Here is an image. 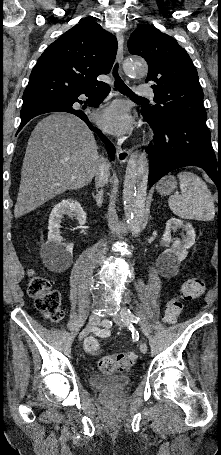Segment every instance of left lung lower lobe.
<instances>
[{"instance_id": "1", "label": "left lung lower lobe", "mask_w": 221, "mask_h": 455, "mask_svg": "<svg viewBox=\"0 0 221 455\" xmlns=\"http://www.w3.org/2000/svg\"><path fill=\"white\" fill-rule=\"evenodd\" d=\"M154 131L149 155V187L168 172L185 167L203 168L221 190V156L215 155L210 131L203 122L185 118L157 120L142 112Z\"/></svg>"}]
</instances>
